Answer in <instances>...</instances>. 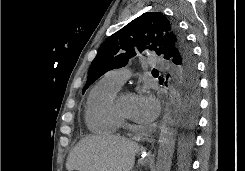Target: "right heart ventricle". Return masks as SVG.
I'll return each instance as SVG.
<instances>
[{
	"label": "right heart ventricle",
	"instance_id": "1",
	"mask_svg": "<svg viewBox=\"0 0 245 171\" xmlns=\"http://www.w3.org/2000/svg\"><path fill=\"white\" fill-rule=\"evenodd\" d=\"M119 88L104 78L91 89L85 107V121L88 129L95 134H116L122 121L115 112L113 100Z\"/></svg>",
	"mask_w": 245,
	"mask_h": 171
}]
</instances>
